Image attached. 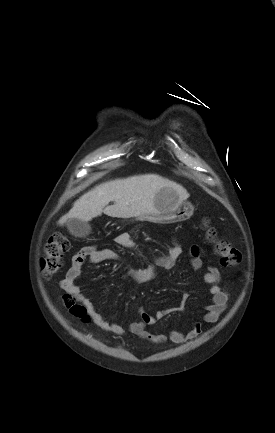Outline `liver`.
I'll return each mask as SVG.
<instances>
[{"label": "liver", "instance_id": "liver-1", "mask_svg": "<svg viewBox=\"0 0 275 433\" xmlns=\"http://www.w3.org/2000/svg\"><path fill=\"white\" fill-rule=\"evenodd\" d=\"M163 188L174 189L181 201L189 197L181 185L157 174H145L116 179L96 186L81 196L71 210L60 218L63 225L69 219L90 221L102 212L111 217L131 218L154 214L155 195ZM113 201L114 205L108 206Z\"/></svg>", "mask_w": 275, "mask_h": 433}]
</instances>
